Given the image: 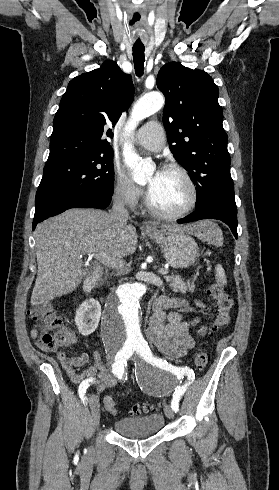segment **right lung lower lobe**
I'll list each match as a JSON object with an SVG mask.
<instances>
[{"instance_id": "98d812e1", "label": "right lung lower lobe", "mask_w": 279, "mask_h": 490, "mask_svg": "<svg viewBox=\"0 0 279 490\" xmlns=\"http://www.w3.org/2000/svg\"><path fill=\"white\" fill-rule=\"evenodd\" d=\"M112 197L98 196L91 193H54L43 196L36 204L33 219V230L43 220L64 212L70 208H106Z\"/></svg>"}]
</instances>
